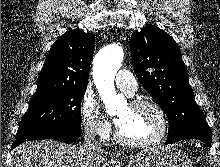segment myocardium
<instances>
[{"label":"myocardium","instance_id":"f54148a6","mask_svg":"<svg viewBox=\"0 0 220 167\" xmlns=\"http://www.w3.org/2000/svg\"><path fill=\"white\" fill-rule=\"evenodd\" d=\"M132 108H152L157 112L161 121V128L159 133L153 138L142 140V141H132L123 136L119 127L115 131V139L118 144L129 147V148H145L155 146L161 143L168 134L169 131V119L164 108L155 101L152 100H135L130 103Z\"/></svg>","mask_w":220,"mask_h":167}]
</instances>
